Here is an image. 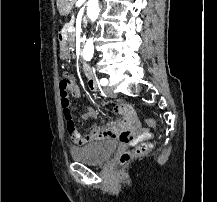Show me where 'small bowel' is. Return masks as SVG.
Returning <instances> with one entry per match:
<instances>
[{"label": "small bowel", "mask_w": 217, "mask_h": 202, "mask_svg": "<svg viewBox=\"0 0 217 202\" xmlns=\"http://www.w3.org/2000/svg\"><path fill=\"white\" fill-rule=\"evenodd\" d=\"M88 88L91 92L97 91V84L94 78L87 79ZM81 90L74 80V86L70 91V96L79 98ZM82 118L84 120L94 121L97 113L96 110L89 105H85ZM116 112L120 115L117 119L110 123L98 126L92 123L89 130L85 133L74 132L70 134V141L74 146H84L104 140H117L122 145H135L142 141V136H151L148 129H143L138 124L135 113H131L134 108L133 104H116ZM127 113V114H121Z\"/></svg>", "instance_id": "obj_1"}]
</instances>
